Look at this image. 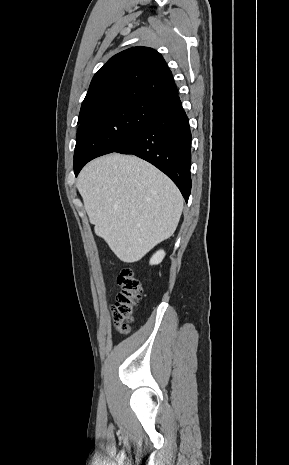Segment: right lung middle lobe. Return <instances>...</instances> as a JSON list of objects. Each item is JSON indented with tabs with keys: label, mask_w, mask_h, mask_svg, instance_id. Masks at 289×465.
<instances>
[{
	"label": "right lung middle lobe",
	"mask_w": 289,
	"mask_h": 465,
	"mask_svg": "<svg viewBox=\"0 0 289 465\" xmlns=\"http://www.w3.org/2000/svg\"><path fill=\"white\" fill-rule=\"evenodd\" d=\"M160 107L161 104L148 101H123L78 122L74 166L120 148L159 112Z\"/></svg>",
	"instance_id": "dd1d6c3e"
}]
</instances>
